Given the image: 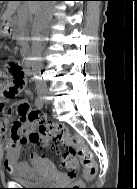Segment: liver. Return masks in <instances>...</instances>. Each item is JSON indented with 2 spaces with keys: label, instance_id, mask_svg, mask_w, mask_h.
<instances>
[{
  "label": "liver",
  "instance_id": "1",
  "mask_svg": "<svg viewBox=\"0 0 137 189\" xmlns=\"http://www.w3.org/2000/svg\"><path fill=\"white\" fill-rule=\"evenodd\" d=\"M20 5L19 1H10L8 2L7 9L2 15L1 19H8ZM43 5V2H29L28 6L31 12H37V10Z\"/></svg>",
  "mask_w": 137,
  "mask_h": 189
}]
</instances>
